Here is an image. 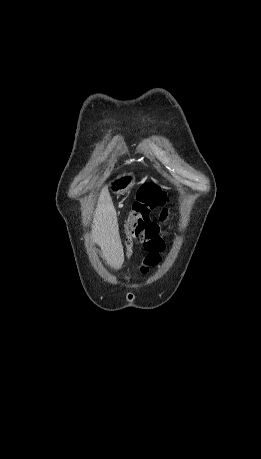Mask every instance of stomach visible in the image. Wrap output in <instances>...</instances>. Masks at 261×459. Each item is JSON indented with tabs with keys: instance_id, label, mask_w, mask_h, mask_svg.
Returning <instances> with one entry per match:
<instances>
[{
	"instance_id": "1",
	"label": "stomach",
	"mask_w": 261,
	"mask_h": 459,
	"mask_svg": "<svg viewBox=\"0 0 261 459\" xmlns=\"http://www.w3.org/2000/svg\"><path fill=\"white\" fill-rule=\"evenodd\" d=\"M135 184V176L133 173H124L115 179H113L109 184V190L111 193L116 194L117 196L125 194L129 191Z\"/></svg>"
}]
</instances>
